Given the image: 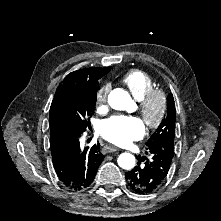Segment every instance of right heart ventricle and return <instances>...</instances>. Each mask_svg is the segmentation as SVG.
Returning a JSON list of instances; mask_svg holds the SVG:
<instances>
[{
	"label": "right heart ventricle",
	"mask_w": 221,
	"mask_h": 221,
	"mask_svg": "<svg viewBox=\"0 0 221 221\" xmlns=\"http://www.w3.org/2000/svg\"><path fill=\"white\" fill-rule=\"evenodd\" d=\"M120 82L128 88L131 95L138 101L142 100L155 86V82L149 73L141 69L127 71L121 76Z\"/></svg>",
	"instance_id": "right-heart-ventricle-1"
}]
</instances>
